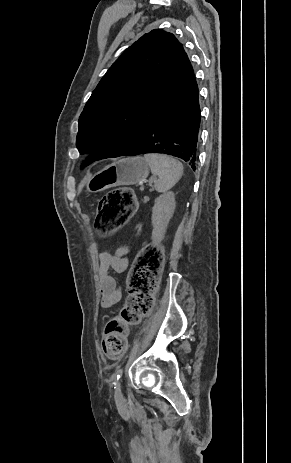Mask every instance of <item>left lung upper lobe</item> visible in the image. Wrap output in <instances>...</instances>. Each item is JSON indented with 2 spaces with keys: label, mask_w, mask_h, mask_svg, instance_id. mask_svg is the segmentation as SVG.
I'll list each match as a JSON object with an SVG mask.
<instances>
[{
  "label": "left lung upper lobe",
  "mask_w": 291,
  "mask_h": 463,
  "mask_svg": "<svg viewBox=\"0 0 291 463\" xmlns=\"http://www.w3.org/2000/svg\"><path fill=\"white\" fill-rule=\"evenodd\" d=\"M194 77L173 34L161 29L144 34L113 63L87 101L78 124L79 152L96 151L89 163L123 155Z\"/></svg>",
  "instance_id": "left-lung-upper-lobe-1"
}]
</instances>
